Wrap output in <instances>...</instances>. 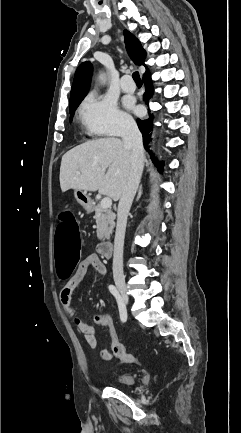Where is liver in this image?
Returning <instances> with one entry per match:
<instances>
[{
  "mask_svg": "<svg viewBox=\"0 0 241 433\" xmlns=\"http://www.w3.org/2000/svg\"><path fill=\"white\" fill-rule=\"evenodd\" d=\"M131 172V150L118 138L83 143L65 153L60 166V187L98 191L119 200Z\"/></svg>",
  "mask_w": 241,
  "mask_h": 433,
  "instance_id": "6515ba94",
  "label": "liver"
}]
</instances>
